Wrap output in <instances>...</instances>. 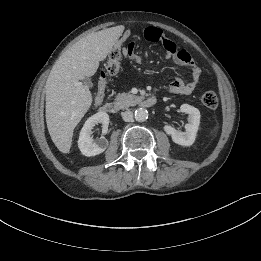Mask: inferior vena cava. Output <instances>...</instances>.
Listing matches in <instances>:
<instances>
[{
    "label": "inferior vena cava",
    "mask_w": 261,
    "mask_h": 261,
    "mask_svg": "<svg viewBox=\"0 0 261 261\" xmlns=\"http://www.w3.org/2000/svg\"><path fill=\"white\" fill-rule=\"evenodd\" d=\"M121 115H122L123 120L126 122H130L133 120V112L130 110L122 112Z\"/></svg>",
    "instance_id": "obj_1"
}]
</instances>
